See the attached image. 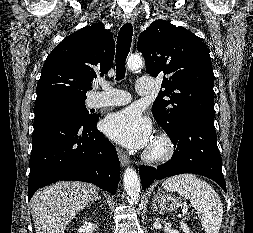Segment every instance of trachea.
Returning <instances> with one entry per match:
<instances>
[{
  "mask_svg": "<svg viewBox=\"0 0 253 233\" xmlns=\"http://www.w3.org/2000/svg\"><path fill=\"white\" fill-rule=\"evenodd\" d=\"M133 35V27L131 23L124 24L118 34L116 48V80H121L125 77L126 58L128 56Z\"/></svg>",
  "mask_w": 253,
  "mask_h": 233,
  "instance_id": "1",
  "label": "trachea"
}]
</instances>
